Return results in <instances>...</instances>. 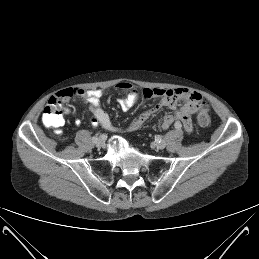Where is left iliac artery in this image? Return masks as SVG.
I'll use <instances>...</instances> for the list:
<instances>
[{
    "mask_svg": "<svg viewBox=\"0 0 259 259\" xmlns=\"http://www.w3.org/2000/svg\"><path fill=\"white\" fill-rule=\"evenodd\" d=\"M174 126H175L176 129H180L181 128V124L179 122H176Z\"/></svg>",
    "mask_w": 259,
    "mask_h": 259,
    "instance_id": "44dca946",
    "label": "left iliac artery"
}]
</instances>
